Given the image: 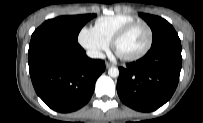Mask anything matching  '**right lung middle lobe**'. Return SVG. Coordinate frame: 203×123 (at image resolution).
Wrapping results in <instances>:
<instances>
[{"label": "right lung middle lobe", "mask_w": 203, "mask_h": 123, "mask_svg": "<svg viewBox=\"0 0 203 123\" xmlns=\"http://www.w3.org/2000/svg\"><path fill=\"white\" fill-rule=\"evenodd\" d=\"M94 16V14L60 16L47 20L33 32L32 38L49 36L61 40L77 42L81 28Z\"/></svg>", "instance_id": "right-lung-middle-lobe-1"}]
</instances>
